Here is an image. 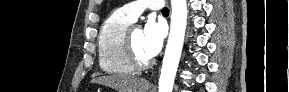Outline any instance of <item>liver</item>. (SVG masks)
Instances as JSON below:
<instances>
[{"instance_id":"obj_1","label":"liver","mask_w":289,"mask_h":92,"mask_svg":"<svg viewBox=\"0 0 289 92\" xmlns=\"http://www.w3.org/2000/svg\"><path fill=\"white\" fill-rule=\"evenodd\" d=\"M91 82L111 87L118 92H146L150 88L148 81L124 75L97 77L92 79Z\"/></svg>"}]
</instances>
